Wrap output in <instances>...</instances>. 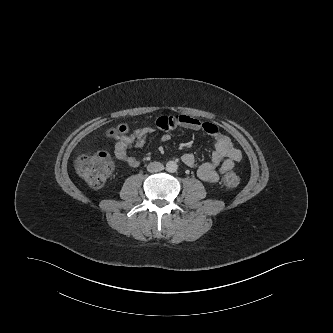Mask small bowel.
Segmentation results:
<instances>
[{
    "instance_id": "obj_1",
    "label": "small bowel",
    "mask_w": 333,
    "mask_h": 333,
    "mask_svg": "<svg viewBox=\"0 0 333 333\" xmlns=\"http://www.w3.org/2000/svg\"><path fill=\"white\" fill-rule=\"evenodd\" d=\"M156 126L162 131L161 140L166 142L171 138L170 131L177 127H184L193 131H203L213 137V154L211 160L198 167L197 174L201 180L207 183H216L220 176L231 171L235 164L242 158V153L235 147L231 139L222 134L216 125L201 121L187 115L161 116L156 120ZM154 132L149 126L139 127L129 135L115 137V157L130 167H138L140 160L129 154L132 149L145 146L147 138ZM183 163L193 167L196 162L193 153H185L182 156Z\"/></svg>"
}]
</instances>
